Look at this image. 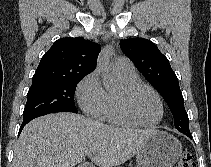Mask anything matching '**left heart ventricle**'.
Listing matches in <instances>:
<instances>
[{
	"mask_svg": "<svg viewBox=\"0 0 211 167\" xmlns=\"http://www.w3.org/2000/svg\"><path fill=\"white\" fill-rule=\"evenodd\" d=\"M128 108L136 119L143 123H153L160 116L159 104L147 89H139L128 97Z\"/></svg>",
	"mask_w": 211,
	"mask_h": 167,
	"instance_id": "1",
	"label": "left heart ventricle"
}]
</instances>
